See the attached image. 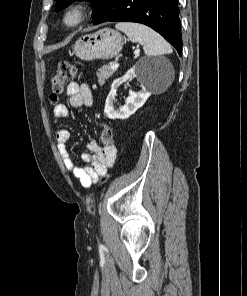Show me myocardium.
<instances>
[{"mask_svg":"<svg viewBox=\"0 0 247 296\" xmlns=\"http://www.w3.org/2000/svg\"><path fill=\"white\" fill-rule=\"evenodd\" d=\"M87 9V5L83 2H74L69 4L63 13V25L67 28L77 27L84 21Z\"/></svg>","mask_w":247,"mask_h":296,"instance_id":"myocardium-1","label":"myocardium"}]
</instances>
